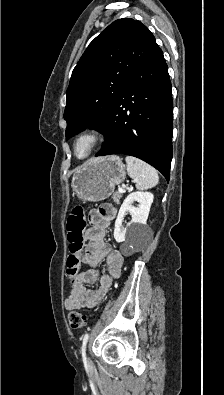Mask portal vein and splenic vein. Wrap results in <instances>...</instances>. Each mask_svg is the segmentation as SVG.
Returning a JSON list of instances; mask_svg holds the SVG:
<instances>
[{
    "instance_id": "18ae733b",
    "label": "portal vein and splenic vein",
    "mask_w": 224,
    "mask_h": 395,
    "mask_svg": "<svg viewBox=\"0 0 224 395\" xmlns=\"http://www.w3.org/2000/svg\"><path fill=\"white\" fill-rule=\"evenodd\" d=\"M118 191H119V193H124L125 189L124 188H119Z\"/></svg>"
}]
</instances>
